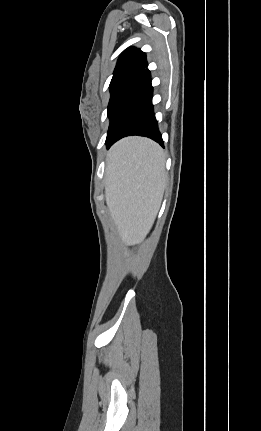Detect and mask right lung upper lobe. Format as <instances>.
Wrapping results in <instances>:
<instances>
[{"instance_id": "1", "label": "right lung upper lobe", "mask_w": 261, "mask_h": 431, "mask_svg": "<svg viewBox=\"0 0 261 431\" xmlns=\"http://www.w3.org/2000/svg\"><path fill=\"white\" fill-rule=\"evenodd\" d=\"M147 67L146 55L140 49L130 47L119 57L112 80L128 73H141Z\"/></svg>"}]
</instances>
